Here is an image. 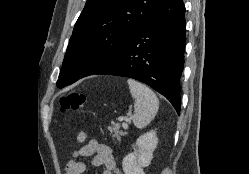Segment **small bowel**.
Masks as SVG:
<instances>
[{"instance_id":"small-bowel-1","label":"small bowel","mask_w":249,"mask_h":174,"mask_svg":"<svg viewBox=\"0 0 249 174\" xmlns=\"http://www.w3.org/2000/svg\"><path fill=\"white\" fill-rule=\"evenodd\" d=\"M77 140L83 145L74 153L65 168V174H83L87 169V164L77 160L78 157H90L89 165L91 167H103L102 174H122L117 167L112 149L95 139L87 140L85 132L77 135Z\"/></svg>"}]
</instances>
